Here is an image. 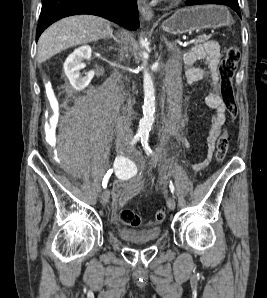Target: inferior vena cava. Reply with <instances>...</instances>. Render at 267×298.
<instances>
[{
	"mask_svg": "<svg viewBox=\"0 0 267 298\" xmlns=\"http://www.w3.org/2000/svg\"><path fill=\"white\" fill-rule=\"evenodd\" d=\"M131 110H132V106H131V102L129 100L128 102V106L125 109V116H123V118H121V125L123 126L124 124V131L129 132V121H130V117H131Z\"/></svg>",
	"mask_w": 267,
	"mask_h": 298,
	"instance_id": "obj_1",
	"label": "inferior vena cava"
}]
</instances>
